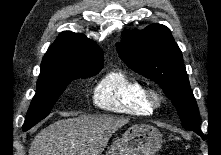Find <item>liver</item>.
Returning a JSON list of instances; mask_svg holds the SVG:
<instances>
[{"instance_id": "1", "label": "liver", "mask_w": 221, "mask_h": 155, "mask_svg": "<svg viewBox=\"0 0 221 155\" xmlns=\"http://www.w3.org/2000/svg\"><path fill=\"white\" fill-rule=\"evenodd\" d=\"M128 122L112 115L58 120L35 136L29 155H101L112 134Z\"/></svg>"}]
</instances>
